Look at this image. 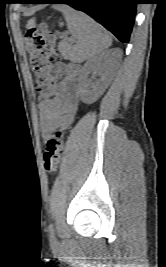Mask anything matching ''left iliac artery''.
I'll return each instance as SVG.
<instances>
[{"label":"left iliac artery","instance_id":"left-iliac-artery-1","mask_svg":"<svg viewBox=\"0 0 166 267\" xmlns=\"http://www.w3.org/2000/svg\"><path fill=\"white\" fill-rule=\"evenodd\" d=\"M49 232L51 233V235H53V233H54V227H53V224H50V225H49Z\"/></svg>","mask_w":166,"mask_h":267}]
</instances>
